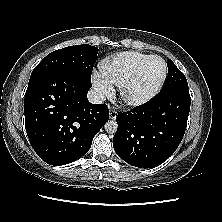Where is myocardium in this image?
Wrapping results in <instances>:
<instances>
[{"mask_svg":"<svg viewBox=\"0 0 222 222\" xmlns=\"http://www.w3.org/2000/svg\"><path fill=\"white\" fill-rule=\"evenodd\" d=\"M153 59H160L164 66V72L161 80L157 84V86L147 95L142 97H133L131 95V90L134 87V85L138 82L140 79L145 67L148 65V63ZM168 76V67L166 61L159 55H151L146 60H144L139 67L136 69V71L132 74V76L121 86V97L122 100L131 107H141L149 102H151L154 98H156L161 90L164 87V84L166 82Z\"/></svg>","mask_w":222,"mask_h":222,"instance_id":"myocardium-1","label":"myocardium"}]
</instances>
